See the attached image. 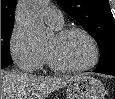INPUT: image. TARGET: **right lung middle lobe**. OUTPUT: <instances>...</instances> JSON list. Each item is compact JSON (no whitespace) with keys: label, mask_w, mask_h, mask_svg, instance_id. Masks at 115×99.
Segmentation results:
<instances>
[{"label":"right lung middle lobe","mask_w":115,"mask_h":99,"mask_svg":"<svg viewBox=\"0 0 115 99\" xmlns=\"http://www.w3.org/2000/svg\"><path fill=\"white\" fill-rule=\"evenodd\" d=\"M13 27H1V64H12L10 56L9 41Z\"/></svg>","instance_id":"right-lung-middle-lobe-1"}]
</instances>
